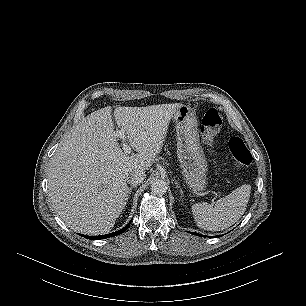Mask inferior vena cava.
I'll return each instance as SVG.
<instances>
[{
    "mask_svg": "<svg viewBox=\"0 0 306 306\" xmlns=\"http://www.w3.org/2000/svg\"><path fill=\"white\" fill-rule=\"evenodd\" d=\"M146 177V174L143 170H135L131 172L127 177V182L130 185L136 186L140 184Z\"/></svg>",
    "mask_w": 306,
    "mask_h": 306,
    "instance_id": "1",
    "label": "inferior vena cava"
}]
</instances>
